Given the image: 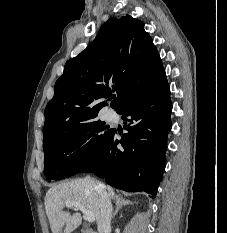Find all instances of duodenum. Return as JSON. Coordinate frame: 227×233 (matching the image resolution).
<instances>
[{"label":"duodenum","instance_id":"410a0bca","mask_svg":"<svg viewBox=\"0 0 227 233\" xmlns=\"http://www.w3.org/2000/svg\"><path fill=\"white\" fill-rule=\"evenodd\" d=\"M83 233H95V232H92V231H84Z\"/></svg>","mask_w":227,"mask_h":233}]
</instances>
